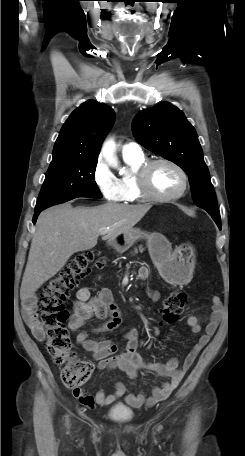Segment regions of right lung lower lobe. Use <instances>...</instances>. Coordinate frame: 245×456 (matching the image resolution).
Segmentation results:
<instances>
[{
  "label": "right lung lower lobe",
  "mask_w": 245,
  "mask_h": 456,
  "mask_svg": "<svg viewBox=\"0 0 245 456\" xmlns=\"http://www.w3.org/2000/svg\"><path fill=\"white\" fill-rule=\"evenodd\" d=\"M41 211H42V210H40V211H35V215H34V217H33V223H34V224L36 223L37 217H38V215L40 214Z\"/></svg>",
  "instance_id": "1"
}]
</instances>
